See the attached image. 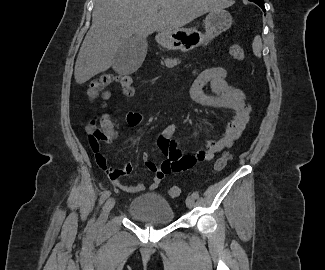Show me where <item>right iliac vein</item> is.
<instances>
[{
    "instance_id": "1",
    "label": "right iliac vein",
    "mask_w": 325,
    "mask_h": 270,
    "mask_svg": "<svg viewBox=\"0 0 325 270\" xmlns=\"http://www.w3.org/2000/svg\"><path fill=\"white\" fill-rule=\"evenodd\" d=\"M114 205H115V199L114 198H109L106 201V203L104 204V206L102 208V212H101V215H100L99 220H98L99 224H103L107 220L109 212L114 207Z\"/></svg>"
}]
</instances>
